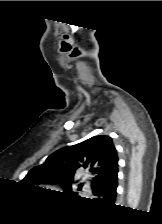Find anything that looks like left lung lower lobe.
Instances as JSON below:
<instances>
[{
    "label": "left lung lower lobe",
    "mask_w": 162,
    "mask_h": 224,
    "mask_svg": "<svg viewBox=\"0 0 162 224\" xmlns=\"http://www.w3.org/2000/svg\"><path fill=\"white\" fill-rule=\"evenodd\" d=\"M118 170L114 171L100 187L93 189L94 201L113 204L116 197Z\"/></svg>",
    "instance_id": "1"
}]
</instances>
